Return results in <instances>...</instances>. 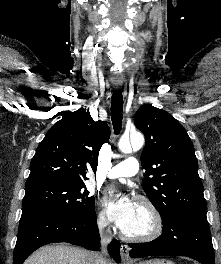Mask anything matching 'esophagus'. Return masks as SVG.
Returning a JSON list of instances; mask_svg holds the SVG:
<instances>
[{"label":"esophagus","mask_w":221,"mask_h":264,"mask_svg":"<svg viewBox=\"0 0 221 264\" xmlns=\"http://www.w3.org/2000/svg\"><path fill=\"white\" fill-rule=\"evenodd\" d=\"M114 89L115 90H119L120 89V85H118V84L114 85ZM120 252H121L122 261L125 264H128L131 261L130 258H129V246L126 245V244H121Z\"/></svg>","instance_id":"34e87169"}]
</instances>
